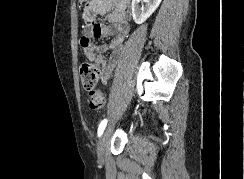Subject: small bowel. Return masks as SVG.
Returning a JSON list of instances; mask_svg holds the SVG:
<instances>
[{
    "instance_id": "small-bowel-1",
    "label": "small bowel",
    "mask_w": 244,
    "mask_h": 179,
    "mask_svg": "<svg viewBox=\"0 0 244 179\" xmlns=\"http://www.w3.org/2000/svg\"><path fill=\"white\" fill-rule=\"evenodd\" d=\"M82 20L84 30L80 39L84 57L101 70V80L107 84L124 55V42L129 35L131 13L126 1L90 0L86 3ZM105 22H97V17ZM113 36L111 43H95L93 40ZM110 55L107 57V53Z\"/></svg>"
}]
</instances>
